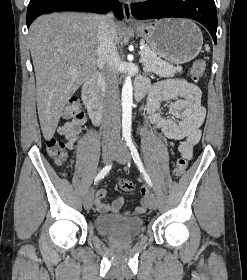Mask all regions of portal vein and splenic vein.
Returning <instances> with one entry per match:
<instances>
[{"instance_id":"18ae733b","label":"portal vein and splenic vein","mask_w":247,"mask_h":280,"mask_svg":"<svg viewBox=\"0 0 247 280\" xmlns=\"http://www.w3.org/2000/svg\"><path fill=\"white\" fill-rule=\"evenodd\" d=\"M143 49V47H141V50ZM139 54L141 55L140 58V62L143 63L144 61H146V59L143 57V53L140 51Z\"/></svg>"}]
</instances>
